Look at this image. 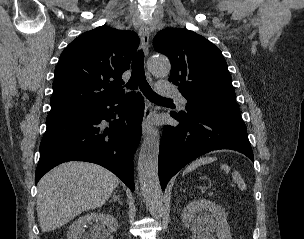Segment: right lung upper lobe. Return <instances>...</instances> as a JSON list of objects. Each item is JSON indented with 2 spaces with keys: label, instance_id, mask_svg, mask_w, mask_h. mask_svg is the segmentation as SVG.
<instances>
[{
  "label": "right lung upper lobe",
  "instance_id": "obj_1",
  "mask_svg": "<svg viewBox=\"0 0 304 239\" xmlns=\"http://www.w3.org/2000/svg\"><path fill=\"white\" fill-rule=\"evenodd\" d=\"M139 44L132 31L106 25L81 34L60 55L47 121L81 114L122 93V74Z\"/></svg>",
  "mask_w": 304,
  "mask_h": 239
}]
</instances>
